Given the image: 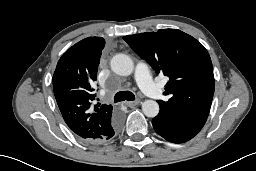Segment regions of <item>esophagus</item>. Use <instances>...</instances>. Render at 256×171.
Returning <instances> with one entry per match:
<instances>
[{
	"label": "esophagus",
	"mask_w": 256,
	"mask_h": 171,
	"mask_svg": "<svg viewBox=\"0 0 256 171\" xmlns=\"http://www.w3.org/2000/svg\"><path fill=\"white\" fill-rule=\"evenodd\" d=\"M140 103V100H135V101H126L125 105L128 107H134Z\"/></svg>",
	"instance_id": "1"
}]
</instances>
